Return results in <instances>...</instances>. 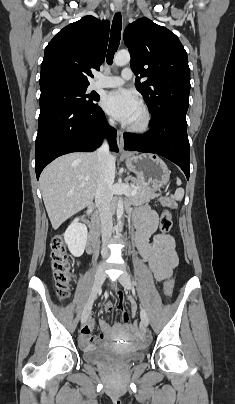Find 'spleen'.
<instances>
[{
  "label": "spleen",
  "mask_w": 235,
  "mask_h": 404,
  "mask_svg": "<svg viewBox=\"0 0 235 404\" xmlns=\"http://www.w3.org/2000/svg\"><path fill=\"white\" fill-rule=\"evenodd\" d=\"M176 183H177L178 186H180L181 185V180L179 178H177ZM171 197L176 201H181L183 199V197H184V189L181 188V187L178 188L175 191L174 195H172Z\"/></svg>",
  "instance_id": "1"
}]
</instances>
